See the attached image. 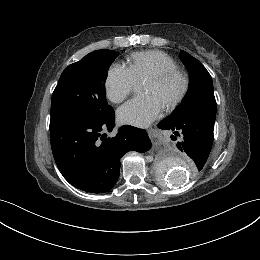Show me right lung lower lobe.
I'll return each instance as SVG.
<instances>
[{
  "mask_svg": "<svg viewBox=\"0 0 260 260\" xmlns=\"http://www.w3.org/2000/svg\"><path fill=\"white\" fill-rule=\"evenodd\" d=\"M114 110L99 121L69 120L50 125L51 148L64 178L78 189L104 193L116 184L120 158L128 151L145 152L151 142L144 129L122 126L115 137Z\"/></svg>",
  "mask_w": 260,
  "mask_h": 260,
  "instance_id": "obj_1",
  "label": "right lung lower lobe"
}]
</instances>
